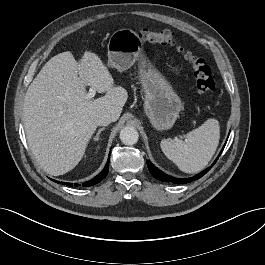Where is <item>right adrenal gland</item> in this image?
Masks as SVG:
<instances>
[{
	"mask_svg": "<svg viewBox=\"0 0 265 265\" xmlns=\"http://www.w3.org/2000/svg\"><path fill=\"white\" fill-rule=\"evenodd\" d=\"M103 130H105V127L100 128V129L98 130L96 136L93 138L94 141H98V140H99V136H100V134H101V132H102Z\"/></svg>",
	"mask_w": 265,
	"mask_h": 265,
	"instance_id": "right-adrenal-gland-1",
	"label": "right adrenal gland"
}]
</instances>
